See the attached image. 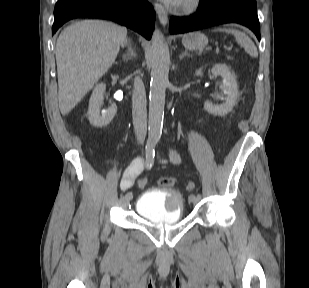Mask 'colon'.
<instances>
[{
	"label": "colon",
	"instance_id": "obj_1",
	"mask_svg": "<svg viewBox=\"0 0 309 288\" xmlns=\"http://www.w3.org/2000/svg\"><path fill=\"white\" fill-rule=\"evenodd\" d=\"M137 183L139 187H145L147 185V179L145 177H141L138 179ZM176 183H177V179L173 177H163L159 180V184L165 188L172 187ZM186 189L187 191L192 192L195 189L194 182L191 180L187 181Z\"/></svg>",
	"mask_w": 309,
	"mask_h": 288
}]
</instances>
